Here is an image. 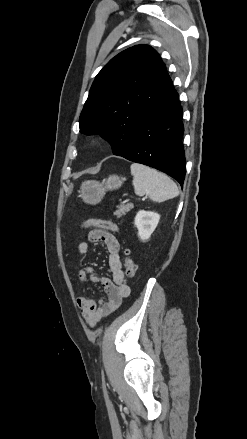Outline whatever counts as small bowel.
I'll return each instance as SVG.
<instances>
[{"instance_id":"c3829d8e","label":"small bowel","mask_w":247,"mask_h":439,"mask_svg":"<svg viewBox=\"0 0 247 439\" xmlns=\"http://www.w3.org/2000/svg\"><path fill=\"white\" fill-rule=\"evenodd\" d=\"M88 240L93 243L102 242L107 249L108 266L111 279L99 278L91 267H84L79 271L82 282H101L106 292V298L98 303L86 297H78L77 305L81 315L90 326H95L100 320L116 310L123 298L130 293L129 286L125 283V275L121 261V247L118 239L109 231L94 229L89 232ZM89 245L81 242L77 246L79 255H87Z\"/></svg>"}]
</instances>
